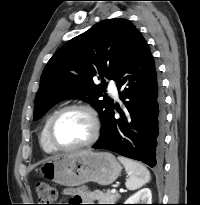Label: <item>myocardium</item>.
<instances>
[{
  "instance_id": "1",
  "label": "myocardium",
  "mask_w": 200,
  "mask_h": 205,
  "mask_svg": "<svg viewBox=\"0 0 200 205\" xmlns=\"http://www.w3.org/2000/svg\"><path fill=\"white\" fill-rule=\"evenodd\" d=\"M71 110H80L87 114V116L89 117L90 123H91V133L89 137L83 142H80L72 146H61L55 141L53 137V128L58 118L65 112L71 111ZM101 128H102V124H101L99 113L92 105L87 104V103H72V104H69V105H66L60 108L54 113L47 127V137H48L49 143L55 150L73 151V150L81 149V148L88 147L94 144L100 137Z\"/></svg>"
}]
</instances>
